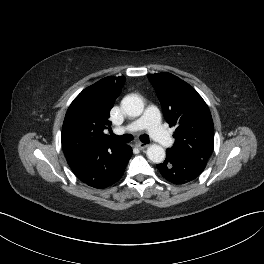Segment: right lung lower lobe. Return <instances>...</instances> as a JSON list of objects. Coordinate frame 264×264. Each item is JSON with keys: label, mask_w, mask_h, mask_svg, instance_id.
Returning a JSON list of instances; mask_svg holds the SVG:
<instances>
[{"label": "right lung lower lobe", "mask_w": 264, "mask_h": 264, "mask_svg": "<svg viewBox=\"0 0 264 264\" xmlns=\"http://www.w3.org/2000/svg\"><path fill=\"white\" fill-rule=\"evenodd\" d=\"M131 155V148L123 144L114 150L77 154L66 159L74 174L83 183L103 189L122 177Z\"/></svg>", "instance_id": "right-lung-lower-lobe-1"}]
</instances>
